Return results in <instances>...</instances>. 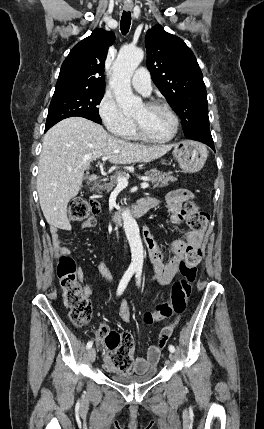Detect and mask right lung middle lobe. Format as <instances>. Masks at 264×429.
<instances>
[{
  "label": "right lung middle lobe",
  "instance_id": "obj_1",
  "mask_svg": "<svg viewBox=\"0 0 264 429\" xmlns=\"http://www.w3.org/2000/svg\"><path fill=\"white\" fill-rule=\"evenodd\" d=\"M104 90L66 88L55 90L47 116V131L62 119L80 116L101 124L97 105L101 102Z\"/></svg>",
  "mask_w": 264,
  "mask_h": 429
}]
</instances>
